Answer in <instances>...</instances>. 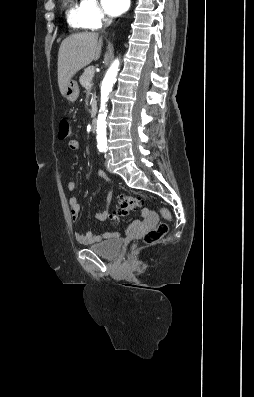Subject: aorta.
<instances>
[{
  "instance_id": "obj_1",
  "label": "aorta",
  "mask_w": 254,
  "mask_h": 397,
  "mask_svg": "<svg viewBox=\"0 0 254 397\" xmlns=\"http://www.w3.org/2000/svg\"><path fill=\"white\" fill-rule=\"evenodd\" d=\"M119 71V61L115 60L110 68L108 69L105 78L102 82L101 87V107L99 110V115L97 119V144L99 147H106L107 138H106V102L108 100V95L112 90L113 84L116 81V76Z\"/></svg>"
}]
</instances>
